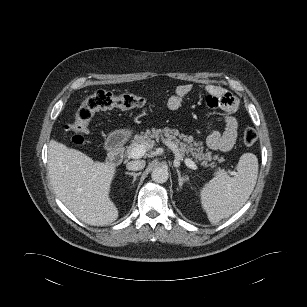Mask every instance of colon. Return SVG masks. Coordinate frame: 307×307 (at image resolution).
<instances>
[{
	"instance_id": "5ec220e1",
	"label": "colon",
	"mask_w": 307,
	"mask_h": 307,
	"mask_svg": "<svg viewBox=\"0 0 307 307\" xmlns=\"http://www.w3.org/2000/svg\"><path fill=\"white\" fill-rule=\"evenodd\" d=\"M145 105L146 100L133 93L115 95L108 91L98 90L79 105L73 119L66 123L65 129L71 134V141L81 145L86 141L89 123L97 112L113 108L129 110ZM257 137V132L253 128H247L243 133V141L246 145H253Z\"/></svg>"
}]
</instances>
